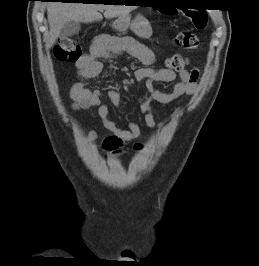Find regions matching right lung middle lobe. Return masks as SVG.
I'll return each mask as SVG.
<instances>
[{
  "instance_id": "dd1d6c3e",
  "label": "right lung middle lobe",
  "mask_w": 259,
  "mask_h": 266,
  "mask_svg": "<svg viewBox=\"0 0 259 266\" xmlns=\"http://www.w3.org/2000/svg\"><path fill=\"white\" fill-rule=\"evenodd\" d=\"M86 1H94V0H86Z\"/></svg>"
}]
</instances>
